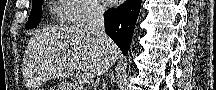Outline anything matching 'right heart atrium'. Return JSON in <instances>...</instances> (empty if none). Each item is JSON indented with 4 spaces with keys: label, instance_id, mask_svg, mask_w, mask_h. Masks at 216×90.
<instances>
[{
    "label": "right heart atrium",
    "instance_id": "right-heart-atrium-1",
    "mask_svg": "<svg viewBox=\"0 0 216 90\" xmlns=\"http://www.w3.org/2000/svg\"><path fill=\"white\" fill-rule=\"evenodd\" d=\"M62 3H69L70 6H77L72 20H92L99 16L101 8L95 0H62Z\"/></svg>",
    "mask_w": 216,
    "mask_h": 90
}]
</instances>
